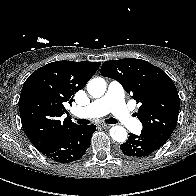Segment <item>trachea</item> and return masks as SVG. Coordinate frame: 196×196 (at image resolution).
Listing matches in <instances>:
<instances>
[{"label": "trachea", "instance_id": "obj_1", "mask_svg": "<svg viewBox=\"0 0 196 196\" xmlns=\"http://www.w3.org/2000/svg\"><path fill=\"white\" fill-rule=\"evenodd\" d=\"M77 122L81 125H87V124L90 123V121L87 120V119H77ZM105 122L108 123V124H115L118 121L114 118H109V119H106Z\"/></svg>", "mask_w": 196, "mask_h": 196}]
</instances>
